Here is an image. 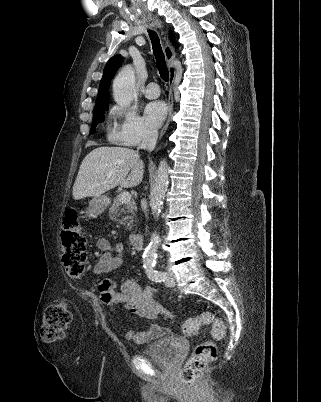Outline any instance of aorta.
Returning <instances> with one entry per match:
<instances>
[{
  "label": "aorta",
  "instance_id": "aorta-1",
  "mask_svg": "<svg viewBox=\"0 0 321 402\" xmlns=\"http://www.w3.org/2000/svg\"><path fill=\"white\" fill-rule=\"evenodd\" d=\"M136 97L135 72L131 65L125 66L113 81V98L118 105L128 106ZM168 186V164L160 161L157 177L150 192V207L154 219H158L163 205V199ZM159 235L154 232L143 254V266L152 270L159 245Z\"/></svg>",
  "mask_w": 321,
  "mask_h": 402
}]
</instances>
